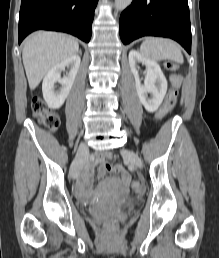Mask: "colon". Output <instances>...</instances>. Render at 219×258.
Wrapping results in <instances>:
<instances>
[{"mask_svg": "<svg viewBox=\"0 0 219 258\" xmlns=\"http://www.w3.org/2000/svg\"><path fill=\"white\" fill-rule=\"evenodd\" d=\"M165 68L170 72H176L178 70V65L173 61H167L165 63ZM175 102L176 91L174 89H170L166 95L163 104L156 113V121H162L174 107ZM31 108L34 116L40 121L41 124L46 126L48 129L54 131L59 127V116L56 113L50 111L41 98H33ZM131 189L135 194H139L141 191L140 183L137 181H133L131 183ZM104 228L105 232L108 235H115L118 231V222L114 218H109L105 222Z\"/></svg>", "mask_w": 219, "mask_h": 258, "instance_id": "colon-1", "label": "colon"}]
</instances>
